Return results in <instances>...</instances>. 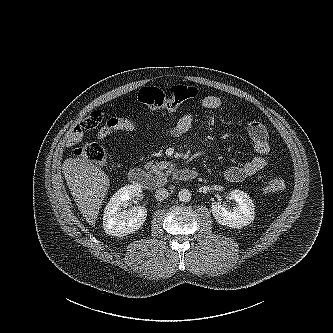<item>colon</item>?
I'll use <instances>...</instances> for the list:
<instances>
[{"label": "colon", "instance_id": "5ec220e1", "mask_svg": "<svg viewBox=\"0 0 333 333\" xmlns=\"http://www.w3.org/2000/svg\"><path fill=\"white\" fill-rule=\"evenodd\" d=\"M198 90L192 86L174 85L168 91L158 87H144L137 95V100L153 109L175 110L185 101L197 96ZM76 157L84 158L95 164H102L106 159L104 148L96 143H86L74 151ZM286 188L282 177L273 178L264 187L266 192L280 191Z\"/></svg>", "mask_w": 333, "mask_h": 333}]
</instances>
